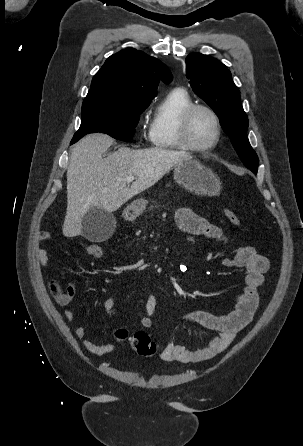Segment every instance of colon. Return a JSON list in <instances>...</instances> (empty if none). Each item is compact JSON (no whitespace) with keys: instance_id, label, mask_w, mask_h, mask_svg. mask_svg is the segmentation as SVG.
Here are the masks:
<instances>
[{"instance_id":"1","label":"colon","mask_w":303,"mask_h":446,"mask_svg":"<svg viewBox=\"0 0 303 446\" xmlns=\"http://www.w3.org/2000/svg\"><path fill=\"white\" fill-rule=\"evenodd\" d=\"M224 213L231 224L235 226H239L241 224L240 218L234 211L225 209ZM85 253L92 259H100L104 255V247L100 244H90L88 245L87 249H85ZM114 335L117 341L128 342L141 356H152L156 352V344L145 332L138 331L133 334H129L126 329L119 328L115 331Z\"/></svg>"}]
</instances>
